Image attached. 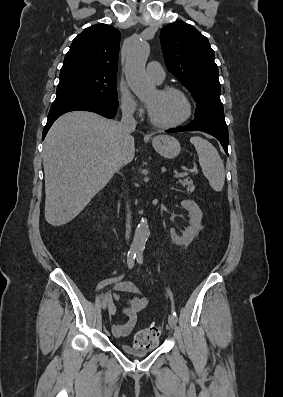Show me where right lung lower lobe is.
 <instances>
[{
	"instance_id": "1",
	"label": "right lung lower lobe",
	"mask_w": 283,
	"mask_h": 397,
	"mask_svg": "<svg viewBox=\"0 0 283 397\" xmlns=\"http://www.w3.org/2000/svg\"><path fill=\"white\" fill-rule=\"evenodd\" d=\"M118 107L105 106L96 102L86 101V100H62L54 101L49 114L46 126L43 130L42 140L45 138L48 130L52 126L53 122L62 114L75 110L91 111L98 113L106 118H113L117 112Z\"/></svg>"
}]
</instances>
